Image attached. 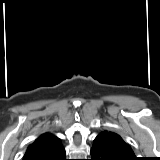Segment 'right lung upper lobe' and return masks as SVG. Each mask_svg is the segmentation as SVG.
<instances>
[{"instance_id": "cb5924a9", "label": "right lung upper lobe", "mask_w": 160, "mask_h": 160, "mask_svg": "<svg viewBox=\"0 0 160 160\" xmlns=\"http://www.w3.org/2000/svg\"><path fill=\"white\" fill-rule=\"evenodd\" d=\"M58 137L45 133L39 136L26 150L23 160H41L62 148Z\"/></svg>"}]
</instances>
